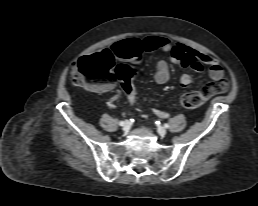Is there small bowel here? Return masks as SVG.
<instances>
[{
  "mask_svg": "<svg viewBox=\"0 0 258 206\" xmlns=\"http://www.w3.org/2000/svg\"><path fill=\"white\" fill-rule=\"evenodd\" d=\"M163 51L170 53L172 61L175 63L192 69L195 72H201L205 67H208V73L212 80H221L224 76V71L214 57L199 52L183 43L173 44L168 38L162 36H146L143 39L129 37L118 41L111 46L110 49H104L101 52H107L113 57L120 59L136 58L143 52ZM170 78L169 64L167 60L161 59L156 66L154 79L158 84H165ZM192 82L191 76L184 74L179 79V84L183 88H187ZM113 88L111 84L105 85L101 91H109ZM109 106L113 107L110 101ZM157 115L162 118L167 117L164 111H158Z\"/></svg>",
  "mask_w": 258,
  "mask_h": 206,
  "instance_id": "small-bowel-1",
  "label": "small bowel"
}]
</instances>
